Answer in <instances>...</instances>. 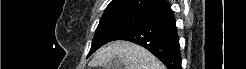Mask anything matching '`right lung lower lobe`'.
<instances>
[{"label": "right lung lower lobe", "mask_w": 246, "mask_h": 69, "mask_svg": "<svg viewBox=\"0 0 246 69\" xmlns=\"http://www.w3.org/2000/svg\"><path fill=\"white\" fill-rule=\"evenodd\" d=\"M114 40L141 45L161 60L168 69H181L179 38L175 18L167 2L142 14V20Z\"/></svg>", "instance_id": "right-lung-lower-lobe-1"}]
</instances>
